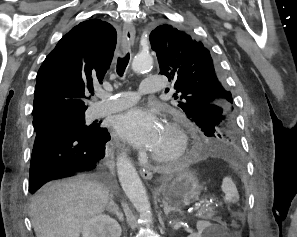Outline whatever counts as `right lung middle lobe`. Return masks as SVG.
I'll list each match as a JSON object with an SVG mask.
<instances>
[{
    "instance_id": "dd1d6c3e",
    "label": "right lung middle lobe",
    "mask_w": 297,
    "mask_h": 237,
    "mask_svg": "<svg viewBox=\"0 0 297 237\" xmlns=\"http://www.w3.org/2000/svg\"><path fill=\"white\" fill-rule=\"evenodd\" d=\"M50 117H61L67 119L72 125L76 128L89 132L96 128V124H91L89 126L85 125V112L84 111H76V112H57L52 113L47 116H44L38 120H33V126L36 130L38 126L47 118Z\"/></svg>"
}]
</instances>
